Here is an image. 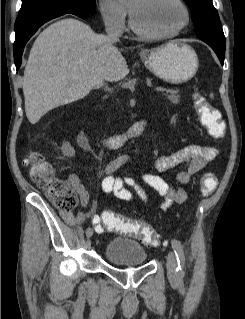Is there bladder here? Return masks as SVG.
<instances>
[{"instance_id": "31cf9c89", "label": "bladder", "mask_w": 245, "mask_h": 319, "mask_svg": "<svg viewBox=\"0 0 245 319\" xmlns=\"http://www.w3.org/2000/svg\"><path fill=\"white\" fill-rule=\"evenodd\" d=\"M104 256L108 261L123 266L142 264L148 257L137 240L127 237L111 239L105 246Z\"/></svg>"}]
</instances>
